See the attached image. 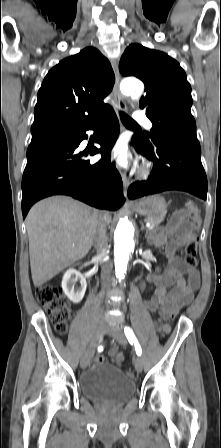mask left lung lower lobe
I'll return each mask as SVG.
<instances>
[{"label": "left lung lower lobe", "instance_id": "obj_1", "mask_svg": "<svg viewBox=\"0 0 221 448\" xmlns=\"http://www.w3.org/2000/svg\"><path fill=\"white\" fill-rule=\"evenodd\" d=\"M136 150L153 162L147 181L135 182L128 189L130 199L166 190H182L206 200L207 178L201 163L199 142L167 138L154 139L147 147L133 138Z\"/></svg>", "mask_w": 221, "mask_h": 448}]
</instances>
